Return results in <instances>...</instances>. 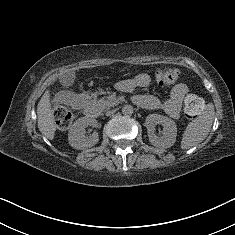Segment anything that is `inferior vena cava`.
Listing matches in <instances>:
<instances>
[{"instance_id": "obj_1", "label": "inferior vena cava", "mask_w": 235, "mask_h": 235, "mask_svg": "<svg viewBox=\"0 0 235 235\" xmlns=\"http://www.w3.org/2000/svg\"><path fill=\"white\" fill-rule=\"evenodd\" d=\"M107 114H111V112H107Z\"/></svg>"}]
</instances>
